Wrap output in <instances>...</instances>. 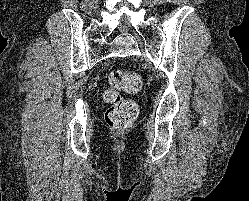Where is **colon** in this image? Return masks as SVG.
Wrapping results in <instances>:
<instances>
[{
	"label": "colon",
	"instance_id": "obj_1",
	"mask_svg": "<svg viewBox=\"0 0 249 201\" xmlns=\"http://www.w3.org/2000/svg\"><path fill=\"white\" fill-rule=\"evenodd\" d=\"M108 81L110 87L104 93V100L109 104L105 113V123L111 129L126 130L136 120L139 108L133 100L123 98L120 91L139 90L141 78L135 72L113 70L109 74Z\"/></svg>",
	"mask_w": 249,
	"mask_h": 201
}]
</instances>
